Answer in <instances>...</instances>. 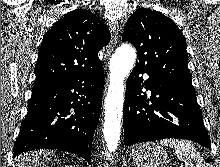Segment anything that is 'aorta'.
Listing matches in <instances>:
<instances>
[{
    "label": "aorta",
    "instance_id": "obj_1",
    "mask_svg": "<svg viewBox=\"0 0 220 167\" xmlns=\"http://www.w3.org/2000/svg\"><path fill=\"white\" fill-rule=\"evenodd\" d=\"M136 52L123 44L117 48L110 60L109 92L105 99L103 135L109 154L117 149L120 140L121 119L124 103V80L133 69Z\"/></svg>",
    "mask_w": 220,
    "mask_h": 167
}]
</instances>
